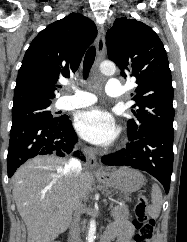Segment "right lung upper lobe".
I'll list each match as a JSON object with an SVG mask.
<instances>
[{"label": "right lung upper lobe", "instance_id": "right-lung-upper-lobe-1", "mask_svg": "<svg viewBox=\"0 0 187 242\" xmlns=\"http://www.w3.org/2000/svg\"><path fill=\"white\" fill-rule=\"evenodd\" d=\"M96 35L93 21L76 13L42 30L23 58L14 89L13 106L51 102L58 79L69 78L75 73Z\"/></svg>", "mask_w": 187, "mask_h": 242}]
</instances>
